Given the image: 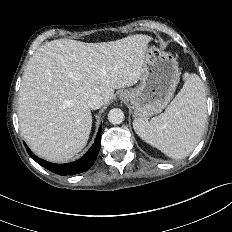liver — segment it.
<instances>
[{
	"mask_svg": "<svg viewBox=\"0 0 232 232\" xmlns=\"http://www.w3.org/2000/svg\"><path fill=\"white\" fill-rule=\"evenodd\" d=\"M150 36L101 43L57 39L40 46L23 74L18 117L23 138L38 156L65 162L87 144L94 95L108 104L114 90L140 79Z\"/></svg>",
	"mask_w": 232,
	"mask_h": 232,
	"instance_id": "liver-1",
	"label": "liver"
}]
</instances>
